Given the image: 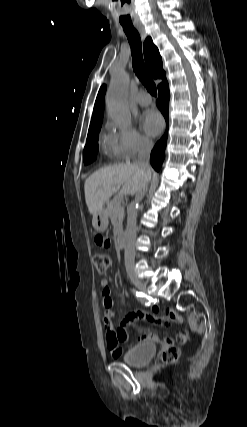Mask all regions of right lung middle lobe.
<instances>
[{
  "label": "right lung middle lobe",
  "mask_w": 247,
  "mask_h": 427,
  "mask_svg": "<svg viewBox=\"0 0 247 427\" xmlns=\"http://www.w3.org/2000/svg\"><path fill=\"white\" fill-rule=\"evenodd\" d=\"M101 129V124L90 128L87 135L86 146L83 151V161L85 164L91 163L96 159L98 152V134Z\"/></svg>",
  "instance_id": "right-lung-middle-lobe-1"
}]
</instances>
